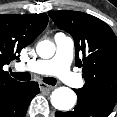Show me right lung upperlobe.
Masks as SVG:
<instances>
[{"label": "right lung upper lobe", "mask_w": 117, "mask_h": 117, "mask_svg": "<svg viewBox=\"0 0 117 117\" xmlns=\"http://www.w3.org/2000/svg\"><path fill=\"white\" fill-rule=\"evenodd\" d=\"M46 14L0 15V100L20 83L3 71V66L18 58L17 54L46 28Z\"/></svg>", "instance_id": "1"}]
</instances>
